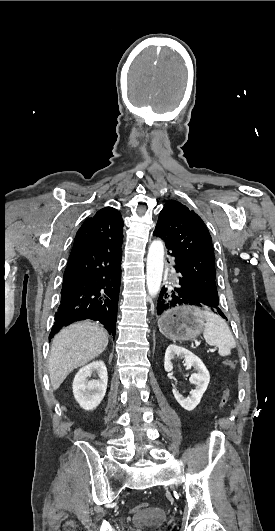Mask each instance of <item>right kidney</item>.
Returning <instances> with one entry per match:
<instances>
[{"label":"right kidney","instance_id":"ca27d5eb","mask_svg":"<svg viewBox=\"0 0 275 531\" xmlns=\"http://www.w3.org/2000/svg\"><path fill=\"white\" fill-rule=\"evenodd\" d=\"M92 373H97L99 379L88 381ZM108 383V373L104 361H93L90 365L82 367L76 373L72 385L73 395L82 409L92 411L100 405L105 397Z\"/></svg>","mask_w":275,"mask_h":531}]
</instances>
